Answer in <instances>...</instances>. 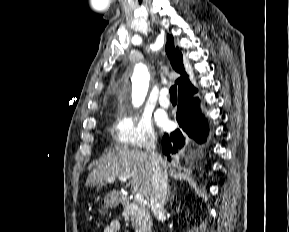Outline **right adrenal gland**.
<instances>
[{"label": "right adrenal gland", "instance_id": "obj_1", "mask_svg": "<svg viewBox=\"0 0 289 232\" xmlns=\"http://www.w3.org/2000/svg\"><path fill=\"white\" fill-rule=\"evenodd\" d=\"M170 197H171V192H170V187H168L167 201H169Z\"/></svg>", "mask_w": 289, "mask_h": 232}]
</instances>
